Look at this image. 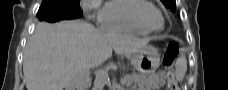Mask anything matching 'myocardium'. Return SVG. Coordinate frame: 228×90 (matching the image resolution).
Returning <instances> with one entry per match:
<instances>
[{
  "label": "myocardium",
  "mask_w": 228,
  "mask_h": 90,
  "mask_svg": "<svg viewBox=\"0 0 228 90\" xmlns=\"http://www.w3.org/2000/svg\"><path fill=\"white\" fill-rule=\"evenodd\" d=\"M150 9L155 10L159 14V16L162 20V26L160 28H152L148 24L147 19H146V13ZM134 16H135L136 21L149 32H159V31L163 30L165 27V21H164L163 13L161 12V10L157 6H155L153 3L149 2V1H145L143 5L138 7L135 10Z\"/></svg>",
  "instance_id": "f54148a6"
}]
</instances>
